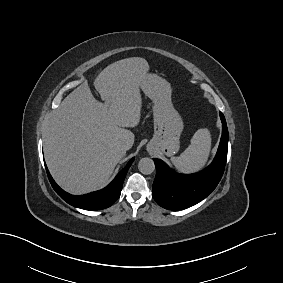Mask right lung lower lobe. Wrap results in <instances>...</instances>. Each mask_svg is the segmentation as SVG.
<instances>
[{
    "label": "right lung lower lobe",
    "instance_id": "1",
    "mask_svg": "<svg viewBox=\"0 0 283 283\" xmlns=\"http://www.w3.org/2000/svg\"><path fill=\"white\" fill-rule=\"evenodd\" d=\"M132 158L115 179L104 189L82 196L71 195L62 190L51 177L47 167L49 181L56 193L70 205L85 210H102L110 207L120 196L126 173L131 166Z\"/></svg>",
    "mask_w": 283,
    "mask_h": 283
}]
</instances>
